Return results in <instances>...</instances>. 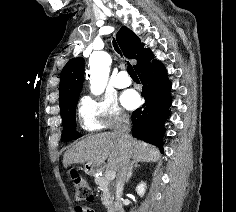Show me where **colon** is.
<instances>
[{
    "label": "colon",
    "mask_w": 236,
    "mask_h": 212,
    "mask_svg": "<svg viewBox=\"0 0 236 212\" xmlns=\"http://www.w3.org/2000/svg\"><path fill=\"white\" fill-rule=\"evenodd\" d=\"M70 177L74 186L76 199L83 202H92L94 195L87 180L75 171L71 172Z\"/></svg>",
    "instance_id": "5ec220e1"
}]
</instances>
